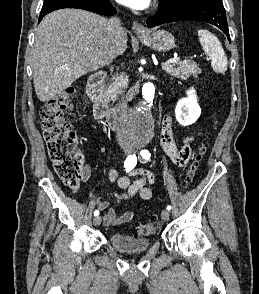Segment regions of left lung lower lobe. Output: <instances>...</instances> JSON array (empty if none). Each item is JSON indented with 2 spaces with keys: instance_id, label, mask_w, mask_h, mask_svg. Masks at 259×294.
I'll return each instance as SVG.
<instances>
[{
  "instance_id": "0a47b994",
  "label": "left lung lower lobe",
  "mask_w": 259,
  "mask_h": 294,
  "mask_svg": "<svg viewBox=\"0 0 259 294\" xmlns=\"http://www.w3.org/2000/svg\"><path fill=\"white\" fill-rule=\"evenodd\" d=\"M194 20L213 24L220 28L231 41L225 8L222 0H194L167 11H158L146 22L149 28L176 21Z\"/></svg>"
}]
</instances>
